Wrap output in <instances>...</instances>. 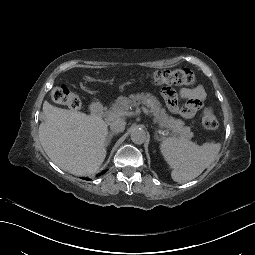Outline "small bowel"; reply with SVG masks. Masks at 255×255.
I'll list each match as a JSON object with an SVG mask.
<instances>
[{"label":"small bowel","instance_id":"small-bowel-1","mask_svg":"<svg viewBox=\"0 0 255 255\" xmlns=\"http://www.w3.org/2000/svg\"><path fill=\"white\" fill-rule=\"evenodd\" d=\"M165 92L167 94L172 93L171 90H166ZM179 95L182 98L187 99V103L180 110V114L185 118L193 117L202 107L203 101L206 98L205 90L202 87L182 88L179 91Z\"/></svg>","mask_w":255,"mask_h":255}]
</instances>
